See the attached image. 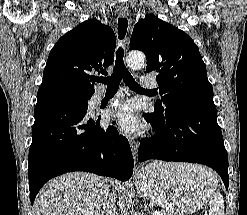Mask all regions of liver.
<instances>
[{"label":"liver","mask_w":247,"mask_h":215,"mask_svg":"<svg viewBox=\"0 0 247 215\" xmlns=\"http://www.w3.org/2000/svg\"><path fill=\"white\" fill-rule=\"evenodd\" d=\"M195 169L207 171L201 166ZM108 196V179L86 172L68 173L40 190L34 215H104Z\"/></svg>","instance_id":"6515ba94"}]
</instances>
